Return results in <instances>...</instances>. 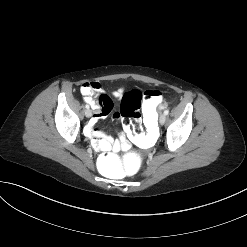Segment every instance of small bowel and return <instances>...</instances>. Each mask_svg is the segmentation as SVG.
<instances>
[{
	"label": "small bowel",
	"mask_w": 247,
	"mask_h": 247,
	"mask_svg": "<svg viewBox=\"0 0 247 247\" xmlns=\"http://www.w3.org/2000/svg\"><path fill=\"white\" fill-rule=\"evenodd\" d=\"M122 93V90H117L113 95L116 98H120ZM81 94L84 101L88 103L95 112L94 118L85 128L86 135L91 139L93 146L102 151L127 149L129 147L130 137L127 129H124V133L120 135L119 139L112 140L95 127L99 120L108 116L113 107L110 97L102 92L100 83L95 81L84 83L81 86ZM96 94L97 98L94 97ZM119 116V113L114 114V118H119Z\"/></svg>",
	"instance_id": "1"
}]
</instances>
